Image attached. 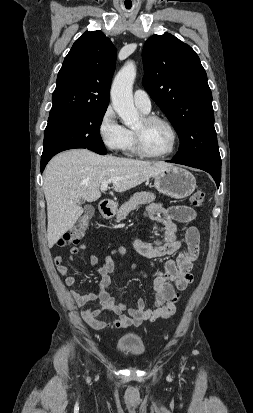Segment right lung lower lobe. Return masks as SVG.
<instances>
[{
    "mask_svg": "<svg viewBox=\"0 0 253 413\" xmlns=\"http://www.w3.org/2000/svg\"><path fill=\"white\" fill-rule=\"evenodd\" d=\"M74 148H87V149H89L93 152H96L98 154H101V155H105L107 153L106 148L104 146H100V147H78V146L64 147V148L58 149V150H56V151H54L50 154H47V155L41 157V172H43L46 164L48 163V161L54 155H56L57 153H59L61 151L68 150V149H74Z\"/></svg>",
    "mask_w": 253,
    "mask_h": 413,
    "instance_id": "98d812e1",
    "label": "right lung lower lobe"
}]
</instances>
